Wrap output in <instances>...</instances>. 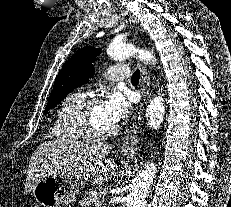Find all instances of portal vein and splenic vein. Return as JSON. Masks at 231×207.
Wrapping results in <instances>:
<instances>
[{
	"mask_svg": "<svg viewBox=\"0 0 231 207\" xmlns=\"http://www.w3.org/2000/svg\"><path fill=\"white\" fill-rule=\"evenodd\" d=\"M95 207H101V203H95Z\"/></svg>",
	"mask_w": 231,
	"mask_h": 207,
	"instance_id": "18ae733b",
	"label": "portal vein and splenic vein"
}]
</instances>
